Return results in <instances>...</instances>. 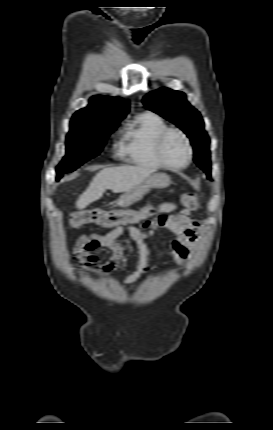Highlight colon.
Returning <instances> with one entry per match:
<instances>
[{"instance_id":"obj_1","label":"colon","mask_w":273,"mask_h":430,"mask_svg":"<svg viewBox=\"0 0 273 430\" xmlns=\"http://www.w3.org/2000/svg\"><path fill=\"white\" fill-rule=\"evenodd\" d=\"M182 205L185 207L184 212L197 210L200 206V200L195 193H184L181 197ZM152 206H145L140 209L131 210H113L108 211L100 208L87 209L77 213L70 220L73 228H79L86 224H97L101 226L127 225L144 220L153 215ZM82 251H88L86 245H78L76 248V257L79 258Z\"/></svg>"}]
</instances>
